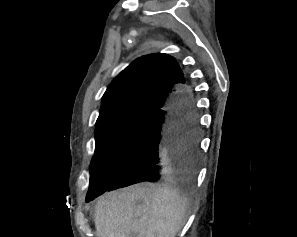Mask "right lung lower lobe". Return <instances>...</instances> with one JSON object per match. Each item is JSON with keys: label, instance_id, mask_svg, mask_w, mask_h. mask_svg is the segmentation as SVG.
I'll return each instance as SVG.
<instances>
[{"label": "right lung lower lobe", "instance_id": "obj_1", "mask_svg": "<svg viewBox=\"0 0 297 237\" xmlns=\"http://www.w3.org/2000/svg\"><path fill=\"white\" fill-rule=\"evenodd\" d=\"M193 89L174 92L161 110L151 114L139 138L118 167L111 186L86 198L139 182H159L191 175L199 157V127Z\"/></svg>", "mask_w": 297, "mask_h": 237}]
</instances>
